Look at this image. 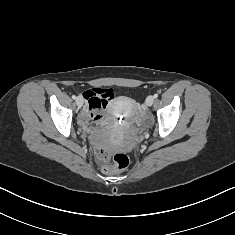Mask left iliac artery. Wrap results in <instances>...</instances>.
<instances>
[{
  "instance_id": "44dca946",
  "label": "left iliac artery",
  "mask_w": 235,
  "mask_h": 235,
  "mask_svg": "<svg viewBox=\"0 0 235 235\" xmlns=\"http://www.w3.org/2000/svg\"><path fill=\"white\" fill-rule=\"evenodd\" d=\"M154 98H157L158 97V94L156 93V94H154V96H153Z\"/></svg>"
}]
</instances>
